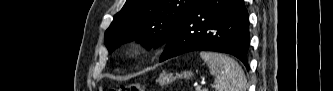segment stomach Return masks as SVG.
<instances>
[{"mask_svg":"<svg viewBox=\"0 0 333 91\" xmlns=\"http://www.w3.org/2000/svg\"><path fill=\"white\" fill-rule=\"evenodd\" d=\"M193 75L192 72L187 71L181 74H176L175 76H173L172 74H167V73H162L159 78L157 79V82L160 85H167L170 84L171 82H173L176 79L179 78H186L189 79L191 76Z\"/></svg>","mask_w":333,"mask_h":91,"instance_id":"1","label":"stomach"}]
</instances>
